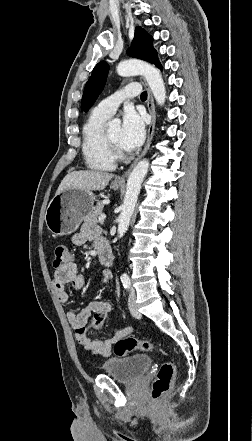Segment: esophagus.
<instances>
[{
    "label": "esophagus",
    "instance_id": "1",
    "mask_svg": "<svg viewBox=\"0 0 252 441\" xmlns=\"http://www.w3.org/2000/svg\"><path fill=\"white\" fill-rule=\"evenodd\" d=\"M140 81L142 82V84L144 85V87L146 88V90L148 92L147 108H148V111L151 116V122L148 127L147 140H146V144L144 146L143 151L137 157V159L133 162V164L129 167V169L122 176L116 178V182H119V183L125 182L126 177L130 174L131 170L136 165V163L147 153V151L149 150V147L151 145L153 134H154L155 124H156V113H155L154 99H153L152 93L149 89V86H148L146 80L143 77H140Z\"/></svg>",
    "mask_w": 252,
    "mask_h": 441
}]
</instances>
